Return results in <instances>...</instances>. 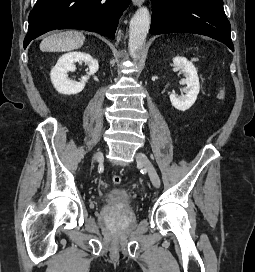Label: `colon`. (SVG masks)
I'll list each match as a JSON object with an SVG mask.
<instances>
[{
    "instance_id": "1",
    "label": "colon",
    "mask_w": 255,
    "mask_h": 272,
    "mask_svg": "<svg viewBox=\"0 0 255 272\" xmlns=\"http://www.w3.org/2000/svg\"><path fill=\"white\" fill-rule=\"evenodd\" d=\"M224 97H225V89H224V87H222V89H221V91H220V93H219V98H220L221 100H223ZM112 182H113L114 184H116V185L120 184V183H121V177L118 176V175H114V176L112 177Z\"/></svg>"
}]
</instances>
